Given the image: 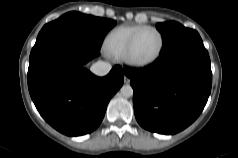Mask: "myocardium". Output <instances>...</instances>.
Wrapping results in <instances>:
<instances>
[{"mask_svg": "<svg viewBox=\"0 0 238 158\" xmlns=\"http://www.w3.org/2000/svg\"><path fill=\"white\" fill-rule=\"evenodd\" d=\"M146 30H152V31H155L158 34V36H159V48H158L156 54L153 57H151L149 59H146V60H138L133 55L134 47H135V44L137 42L138 37ZM163 48H164V38H163V35H162L161 31L159 29H157L156 27H154V26H144L141 29H139L132 36V38H131L128 46H127V49H126V52H125V55H124L123 58H124L125 62L128 63L131 66L145 67V66L153 64L160 57V55L163 51Z\"/></svg>", "mask_w": 238, "mask_h": 158, "instance_id": "1", "label": "myocardium"}]
</instances>
